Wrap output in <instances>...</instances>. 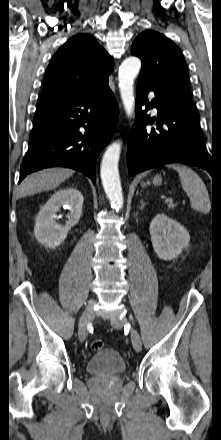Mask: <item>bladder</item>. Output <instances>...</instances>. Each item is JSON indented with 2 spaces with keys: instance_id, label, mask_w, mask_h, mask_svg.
<instances>
[{
  "instance_id": "1",
  "label": "bladder",
  "mask_w": 221,
  "mask_h": 440,
  "mask_svg": "<svg viewBox=\"0 0 221 440\" xmlns=\"http://www.w3.org/2000/svg\"><path fill=\"white\" fill-rule=\"evenodd\" d=\"M125 369L123 357L114 349L101 350L86 363V371L96 376H114L123 373Z\"/></svg>"
}]
</instances>
